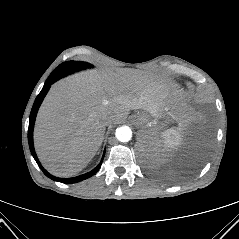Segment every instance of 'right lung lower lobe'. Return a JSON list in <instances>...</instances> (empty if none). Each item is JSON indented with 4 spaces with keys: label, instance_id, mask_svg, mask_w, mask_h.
Instances as JSON below:
<instances>
[{
    "label": "right lung lower lobe",
    "instance_id": "98d812e1",
    "mask_svg": "<svg viewBox=\"0 0 239 239\" xmlns=\"http://www.w3.org/2000/svg\"><path fill=\"white\" fill-rule=\"evenodd\" d=\"M51 84H53V83H45L44 84L41 92L38 94L37 98L35 99V102L33 104V107H32L31 113H30L29 128H28V142H29L30 151H31L35 161L37 162L38 166L40 167V169L43 171V173L47 177H49L50 179H52L54 181H58V182H62V183H77V182L85 180V179L91 177L92 175H94L95 173H97V171L99 170V168L101 166V163H102V160L104 158L105 152L103 154V157H102V160H101L100 164L95 169H93L92 171H90V172H88L86 174H83V175H80V176H77V177H73V178H58V177L52 176L51 174H49L42 167V165L40 164V162H39V160H38V158L36 156L35 150H34V145H33V128H34L35 118H36L39 106L41 105V103H42L45 95L47 94Z\"/></svg>",
    "mask_w": 239,
    "mask_h": 239
}]
</instances>
